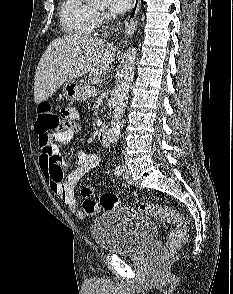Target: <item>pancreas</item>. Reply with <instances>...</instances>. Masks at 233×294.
<instances>
[{
  "instance_id": "pancreas-1",
  "label": "pancreas",
  "mask_w": 233,
  "mask_h": 294,
  "mask_svg": "<svg viewBox=\"0 0 233 294\" xmlns=\"http://www.w3.org/2000/svg\"><path fill=\"white\" fill-rule=\"evenodd\" d=\"M90 89H93L92 86V81L91 80H87L83 83L82 87H81V100H87L88 98L91 97V95L88 93V91Z\"/></svg>"
}]
</instances>
